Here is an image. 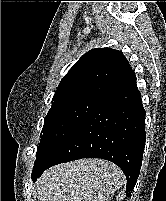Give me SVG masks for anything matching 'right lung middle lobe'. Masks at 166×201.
<instances>
[{
    "mask_svg": "<svg viewBox=\"0 0 166 201\" xmlns=\"http://www.w3.org/2000/svg\"><path fill=\"white\" fill-rule=\"evenodd\" d=\"M104 97L87 95L51 106L44 120L32 175L45 165L57 147L99 106Z\"/></svg>",
    "mask_w": 166,
    "mask_h": 201,
    "instance_id": "dd1d6c3e",
    "label": "right lung middle lobe"
}]
</instances>
